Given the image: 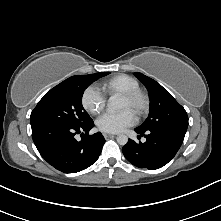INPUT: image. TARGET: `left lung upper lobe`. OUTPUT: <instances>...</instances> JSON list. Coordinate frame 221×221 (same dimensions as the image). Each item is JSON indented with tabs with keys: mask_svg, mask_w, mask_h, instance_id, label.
I'll return each mask as SVG.
<instances>
[{
	"mask_svg": "<svg viewBox=\"0 0 221 221\" xmlns=\"http://www.w3.org/2000/svg\"><path fill=\"white\" fill-rule=\"evenodd\" d=\"M134 75L146 86L151 101L150 114L137 129L148 131L164 127H179L187 130V113L171 94L150 77L138 72Z\"/></svg>",
	"mask_w": 221,
	"mask_h": 221,
	"instance_id": "5c2ea615",
	"label": "left lung upper lobe"
}]
</instances>
